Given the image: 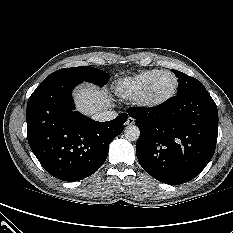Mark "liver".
Here are the masks:
<instances>
[{
    "instance_id": "1",
    "label": "liver",
    "mask_w": 233,
    "mask_h": 233,
    "mask_svg": "<svg viewBox=\"0 0 233 233\" xmlns=\"http://www.w3.org/2000/svg\"><path fill=\"white\" fill-rule=\"evenodd\" d=\"M74 98L77 110L86 115L106 111L111 99L107 90H98L90 85L78 88L74 92Z\"/></svg>"
}]
</instances>
